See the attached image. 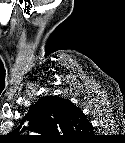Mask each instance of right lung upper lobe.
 <instances>
[{"label": "right lung upper lobe", "instance_id": "right-lung-upper-lobe-1", "mask_svg": "<svg viewBox=\"0 0 125 143\" xmlns=\"http://www.w3.org/2000/svg\"><path fill=\"white\" fill-rule=\"evenodd\" d=\"M33 129L51 128L60 134L79 133L91 129L85 115L70 101L58 97H44L29 110ZM63 132V133H62Z\"/></svg>", "mask_w": 125, "mask_h": 143}]
</instances>
